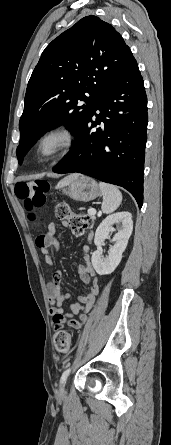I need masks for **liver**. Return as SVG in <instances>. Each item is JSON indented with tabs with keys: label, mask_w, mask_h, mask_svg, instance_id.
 <instances>
[{
	"label": "liver",
	"mask_w": 171,
	"mask_h": 445,
	"mask_svg": "<svg viewBox=\"0 0 171 445\" xmlns=\"http://www.w3.org/2000/svg\"><path fill=\"white\" fill-rule=\"evenodd\" d=\"M77 178V175H71V176H69V177H67L65 180H63L64 182H70V181H72V180H74V179H76Z\"/></svg>",
	"instance_id": "obj_1"
}]
</instances>
